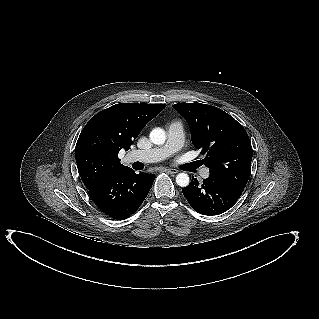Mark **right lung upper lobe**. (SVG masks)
Listing matches in <instances>:
<instances>
[{
    "label": "right lung upper lobe",
    "mask_w": 319,
    "mask_h": 319,
    "mask_svg": "<svg viewBox=\"0 0 319 319\" xmlns=\"http://www.w3.org/2000/svg\"><path fill=\"white\" fill-rule=\"evenodd\" d=\"M165 104L121 103L100 111L83 128L75 157L80 177L89 190L128 168L120 163L119 151L130 149L143 127Z\"/></svg>",
    "instance_id": "right-lung-upper-lobe-1"
}]
</instances>
